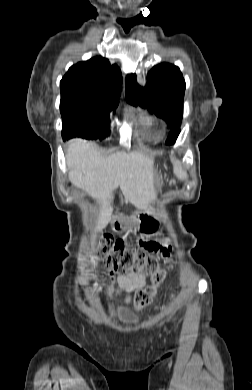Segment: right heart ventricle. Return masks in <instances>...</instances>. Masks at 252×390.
<instances>
[{
    "instance_id": "right-heart-ventricle-1",
    "label": "right heart ventricle",
    "mask_w": 252,
    "mask_h": 390,
    "mask_svg": "<svg viewBox=\"0 0 252 390\" xmlns=\"http://www.w3.org/2000/svg\"><path fill=\"white\" fill-rule=\"evenodd\" d=\"M151 123V121L150 120H148V124H150Z\"/></svg>"
}]
</instances>
